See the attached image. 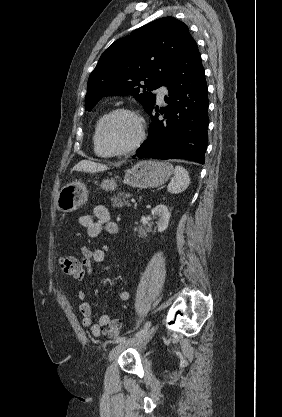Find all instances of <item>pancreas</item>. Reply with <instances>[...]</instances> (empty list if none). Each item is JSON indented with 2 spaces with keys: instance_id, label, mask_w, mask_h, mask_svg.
I'll return each instance as SVG.
<instances>
[{
  "instance_id": "pancreas-1",
  "label": "pancreas",
  "mask_w": 282,
  "mask_h": 417,
  "mask_svg": "<svg viewBox=\"0 0 282 417\" xmlns=\"http://www.w3.org/2000/svg\"><path fill=\"white\" fill-rule=\"evenodd\" d=\"M132 196L131 192H118V194H114V196H111V204L112 206H131L130 198Z\"/></svg>"
}]
</instances>
